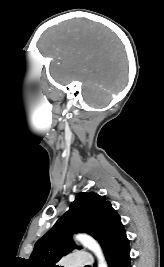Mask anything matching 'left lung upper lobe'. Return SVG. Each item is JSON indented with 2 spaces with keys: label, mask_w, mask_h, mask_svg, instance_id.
Wrapping results in <instances>:
<instances>
[{
  "label": "left lung upper lobe",
  "mask_w": 164,
  "mask_h": 267,
  "mask_svg": "<svg viewBox=\"0 0 164 267\" xmlns=\"http://www.w3.org/2000/svg\"><path fill=\"white\" fill-rule=\"evenodd\" d=\"M121 225L120 216L104 196L78 193L69 210L36 242L28 263L30 267H57L55 263L75 247L73 233H88L102 247Z\"/></svg>",
  "instance_id": "1"
}]
</instances>
